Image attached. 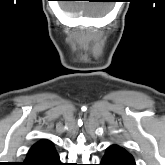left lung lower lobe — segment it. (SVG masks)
<instances>
[{"label":"left lung lower lobe","instance_id":"1","mask_svg":"<svg viewBox=\"0 0 165 165\" xmlns=\"http://www.w3.org/2000/svg\"><path fill=\"white\" fill-rule=\"evenodd\" d=\"M100 165H135V161L123 148L111 146L106 150Z\"/></svg>","mask_w":165,"mask_h":165}]
</instances>
